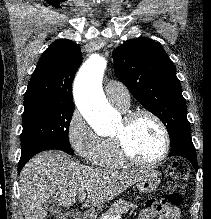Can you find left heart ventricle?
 Wrapping results in <instances>:
<instances>
[{
  "label": "left heart ventricle",
  "instance_id": "b2bd125f",
  "mask_svg": "<svg viewBox=\"0 0 211 219\" xmlns=\"http://www.w3.org/2000/svg\"><path fill=\"white\" fill-rule=\"evenodd\" d=\"M123 121L115 135L121 132ZM126 143L130 153L142 161L156 159L163 148V137L160 128L150 117L137 118L126 132Z\"/></svg>",
  "mask_w": 211,
  "mask_h": 219
}]
</instances>
